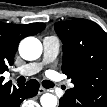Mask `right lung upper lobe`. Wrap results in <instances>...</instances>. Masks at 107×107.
I'll return each instance as SVG.
<instances>
[{
    "mask_svg": "<svg viewBox=\"0 0 107 107\" xmlns=\"http://www.w3.org/2000/svg\"><path fill=\"white\" fill-rule=\"evenodd\" d=\"M44 28L45 24L43 23L18 25L0 22V74L8 70V65H13L20 40L35 35ZM3 80L4 77L0 76V86Z\"/></svg>",
    "mask_w": 107,
    "mask_h": 107,
    "instance_id": "obj_1",
    "label": "right lung upper lobe"
}]
</instances>
